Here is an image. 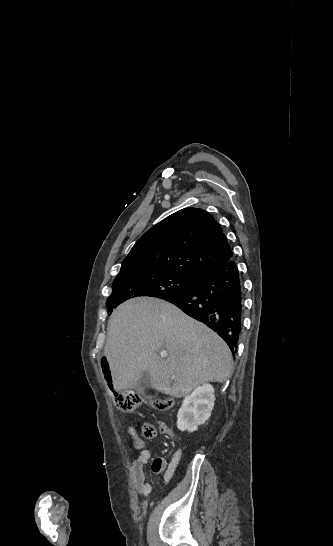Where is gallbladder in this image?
<instances>
[{
    "instance_id": "gallbladder-1",
    "label": "gallbladder",
    "mask_w": 333,
    "mask_h": 546,
    "mask_svg": "<svg viewBox=\"0 0 333 546\" xmlns=\"http://www.w3.org/2000/svg\"><path fill=\"white\" fill-rule=\"evenodd\" d=\"M135 390L139 394H141L143 396H150L151 395L150 376H149V374L147 372H144L140 376V378H139V380H138V382H137V384L135 386Z\"/></svg>"
}]
</instances>
